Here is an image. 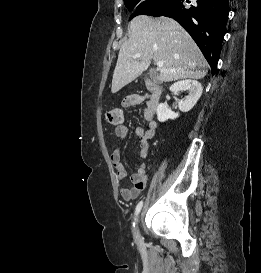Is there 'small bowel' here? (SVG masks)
<instances>
[{
    "mask_svg": "<svg viewBox=\"0 0 261 273\" xmlns=\"http://www.w3.org/2000/svg\"><path fill=\"white\" fill-rule=\"evenodd\" d=\"M146 101V108L144 112V118L147 122L146 129L142 127H136L135 135L138 138L139 143V157L145 160L149 152V141L155 136L157 130V123L155 121L156 106H152L151 99L148 94H132L127 96L123 100L124 107H133ZM128 133V128L124 124L117 125L114 129V137L117 142V146L111 154V161L115 170L116 179L118 182L123 181L127 172L121 162V149L119 144L124 140ZM147 171L144 163L140 164L135 173L130 176V180L133 184L131 188L120 186L119 192L123 199L133 200L136 199L140 193L146 187Z\"/></svg>",
    "mask_w": 261,
    "mask_h": 273,
    "instance_id": "c3829d8e",
    "label": "small bowel"
}]
</instances>
